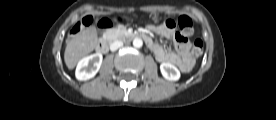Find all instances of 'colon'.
<instances>
[{
    "mask_svg": "<svg viewBox=\"0 0 276 120\" xmlns=\"http://www.w3.org/2000/svg\"><path fill=\"white\" fill-rule=\"evenodd\" d=\"M92 22H93V17L91 15H85L83 19H80L78 21V23H74L69 27V33L71 35H76L81 30V28L89 27ZM126 24H127L126 17L119 14L112 15L110 19L107 17H101L97 21V26L101 30H107L110 28L111 25L117 28H123L126 26ZM164 24L169 28H172L176 25L173 20H167ZM177 25L179 28V33H178L179 37L186 38L192 35L194 32L193 21L188 16L183 15L179 17L177 21ZM203 51H204L203 42L199 39L195 40L192 43V47H191L192 55L198 58L202 56Z\"/></svg>",
    "mask_w": 276,
    "mask_h": 120,
    "instance_id": "obj_1",
    "label": "colon"
}]
</instances>
